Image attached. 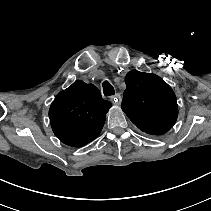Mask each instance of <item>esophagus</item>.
<instances>
[{"instance_id":"esophagus-1","label":"esophagus","mask_w":211,"mask_h":211,"mask_svg":"<svg viewBox=\"0 0 211 211\" xmlns=\"http://www.w3.org/2000/svg\"><path fill=\"white\" fill-rule=\"evenodd\" d=\"M111 101L115 105H120L122 102L121 95L119 93H117L114 97H111Z\"/></svg>"}]
</instances>
